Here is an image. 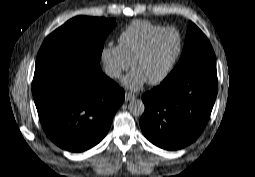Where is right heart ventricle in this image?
<instances>
[{"label": "right heart ventricle", "mask_w": 255, "mask_h": 177, "mask_svg": "<svg viewBox=\"0 0 255 177\" xmlns=\"http://www.w3.org/2000/svg\"><path fill=\"white\" fill-rule=\"evenodd\" d=\"M165 28L149 21L136 20L131 22L119 36V46L129 63L142 48L147 39L155 32Z\"/></svg>", "instance_id": "right-heart-ventricle-1"}]
</instances>
